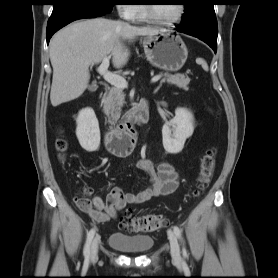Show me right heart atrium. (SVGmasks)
<instances>
[{
  "instance_id": "1",
  "label": "right heart atrium",
  "mask_w": 278,
  "mask_h": 278,
  "mask_svg": "<svg viewBox=\"0 0 278 278\" xmlns=\"http://www.w3.org/2000/svg\"><path fill=\"white\" fill-rule=\"evenodd\" d=\"M137 5L134 4H120L117 6L121 17L125 19H132L136 12Z\"/></svg>"
}]
</instances>
